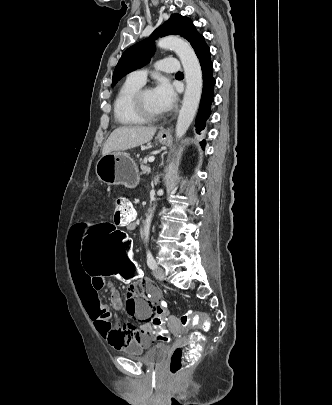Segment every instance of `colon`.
Instances as JSON below:
<instances>
[{"label":"colon","mask_w":332,"mask_h":405,"mask_svg":"<svg viewBox=\"0 0 332 405\" xmlns=\"http://www.w3.org/2000/svg\"><path fill=\"white\" fill-rule=\"evenodd\" d=\"M117 220L128 221L135 216V208L127 196H118L115 202ZM83 240L81 242L80 261L84 262L87 275H114L115 281L122 286L129 282H138L143 276L141 267L131 255L129 234L112 227L111 220H82ZM149 288H157L151 285ZM161 297V295H160ZM171 304L166 299L159 301L158 310L151 317L155 338L160 342H169L170 334L166 319L171 313ZM180 327L187 329L199 325L207 330L208 315L204 311L186 313L179 318ZM204 340L200 332H193L182 346L174 348L171 354L169 370L174 376L181 375L199 357V347Z\"/></svg>","instance_id":"1"}]
</instances>
